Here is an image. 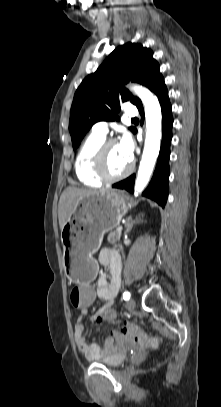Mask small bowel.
I'll return each instance as SVG.
<instances>
[{"label":"small bowel","mask_w":221,"mask_h":407,"mask_svg":"<svg viewBox=\"0 0 221 407\" xmlns=\"http://www.w3.org/2000/svg\"><path fill=\"white\" fill-rule=\"evenodd\" d=\"M98 260L101 265L108 268L109 277L105 273H100L98 276L97 284L94 291L96 293V298L99 297L103 299L105 303L102 306L93 305L91 307V312L94 314L91 317V323L93 325H101L104 322L102 318L103 314L105 313L104 307L106 305L113 304V301L120 287L122 271L120 255L114 249H102L99 253ZM86 314L87 311H81V314L78 316L76 324L74 326V340L79 353L87 359H97L117 350L114 339H121L125 336L121 333L120 330L113 331L112 338L106 340L103 347H100L96 342L88 343L86 341V338L83 334V319ZM123 326L125 325H122L121 327Z\"/></svg>","instance_id":"1"}]
</instances>
